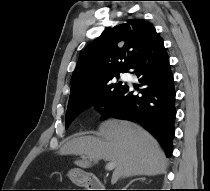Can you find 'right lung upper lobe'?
Wrapping results in <instances>:
<instances>
[{"label":"right lung upper lobe","instance_id":"1","mask_svg":"<svg viewBox=\"0 0 210 191\" xmlns=\"http://www.w3.org/2000/svg\"><path fill=\"white\" fill-rule=\"evenodd\" d=\"M157 37L153 25L142 19L128 20L104 31L80 53L69 99L87 93L110 74L128 71Z\"/></svg>","mask_w":210,"mask_h":191}]
</instances>
